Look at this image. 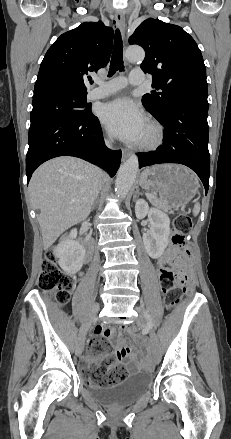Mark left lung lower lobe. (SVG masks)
I'll use <instances>...</instances> for the list:
<instances>
[{
	"label": "left lung lower lobe",
	"instance_id": "0a47b994",
	"mask_svg": "<svg viewBox=\"0 0 231 439\" xmlns=\"http://www.w3.org/2000/svg\"><path fill=\"white\" fill-rule=\"evenodd\" d=\"M208 101L186 98L170 104L154 116L165 128L164 143L156 150L138 153L140 168L160 163L188 166L200 177L205 191L209 188Z\"/></svg>",
	"mask_w": 231,
	"mask_h": 439
}]
</instances>
